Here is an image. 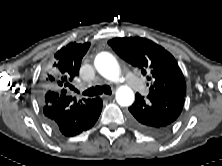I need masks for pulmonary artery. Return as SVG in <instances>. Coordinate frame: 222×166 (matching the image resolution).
<instances>
[{"instance_id": "1", "label": "pulmonary artery", "mask_w": 222, "mask_h": 166, "mask_svg": "<svg viewBox=\"0 0 222 166\" xmlns=\"http://www.w3.org/2000/svg\"><path fill=\"white\" fill-rule=\"evenodd\" d=\"M123 76H124V79H125L126 83L129 86H131L132 88H137L138 79L134 76V74L130 70L124 69ZM78 89L83 90L84 87L80 86Z\"/></svg>"}]
</instances>
